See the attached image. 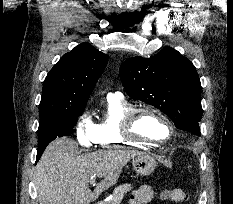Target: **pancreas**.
<instances>
[{"mask_svg":"<svg viewBox=\"0 0 233 204\" xmlns=\"http://www.w3.org/2000/svg\"><path fill=\"white\" fill-rule=\"evenodd\" d=\"M132 189L131 184H122L115 187L112 197L105 204H120L125 193L129 192Z\"/></svg>","mask_w":233,"mask_h":204,"instance_id":"pancreas-1","label":"pancreas"}]
</instances>
